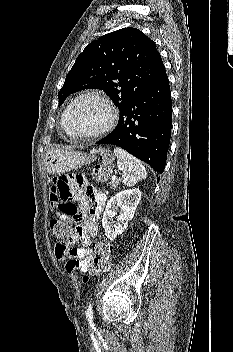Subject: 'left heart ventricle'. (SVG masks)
<instances>
[{
  "instance_id": "obj_1",
  "label": "left heart ventricle",
  "mask_w": 233,
  "mask_h": 352,
  "mask_svg": "<svg viewBox=\"0 0 233 352\" xmlns=\"http://www.w3.org/2000/svg\"><path fill=\"white\" fill-rule=\"evenodd\" d=\"M106 106L95 99H83L72 109L70 122L76 133H91L101 128L108 120Z\"/></svg>"
}]
</instances>
